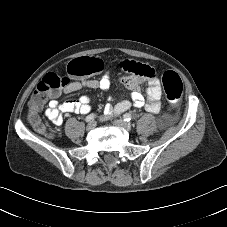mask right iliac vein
Returning a JSON list of instances; mask_svg holds the SVG:
<instances>
[{
  "mask_svg": "<svg viewBox=\"0 0 227 227\" xmlns=\"http://www.w3.org/2000/svg\"><path fill=\"white\" fill-rule=\"evenodd\" d=\"M96 126V122L95 121H91L90 123L87 124L86 129L87 130H93Z\"/></svg>",
  "mask_w": 227,
  "mask_h": 227,
  "instance_id": "right-iliac-vein-1",
  "label": "right iliac vein"
}]
</instances>
